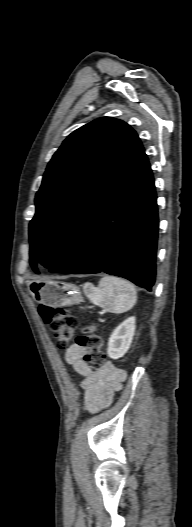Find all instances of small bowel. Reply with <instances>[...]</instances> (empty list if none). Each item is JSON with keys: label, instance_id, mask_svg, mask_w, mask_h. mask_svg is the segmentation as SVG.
<instances>
[{"label": "small bowel", "instance_id": "c3829d8e", "mask_svg": "<svg viewBox=\"0 0 192 527\" xmlns=\"http://www.w3.org/2000/svg\"><path fill=\"white\" fill-rule=\"evenodd\" d=\"M86 350L71 345L65 353V361L83 377L82 388L85 391L83 404L89 412H97L112 402L115 391L121 388L126 374L123 370L107 362L99 369L91 368L83 359Z\"/></svg>", "mask_w": 192, "mask_h": 527}]
</instances>
